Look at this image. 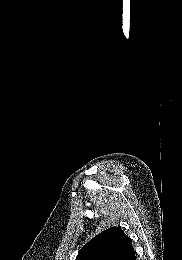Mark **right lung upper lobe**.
<instances>
[{
    "mask_svg": "<svg viewBox=\"0 0 182 260\" xmlns=\"http://www.w3.org/2000/svg\"><path fill=\"white\" fill-rule=\"evenodd\" d=\"M76 260H135V251L124 231L111 227L87 242Z\"/></svg>",
    "mask_w": 182,
    "mask_h": 260,
    "instance_id": "1",
    "label": "right lung upper lobe"
}]
</instances>
